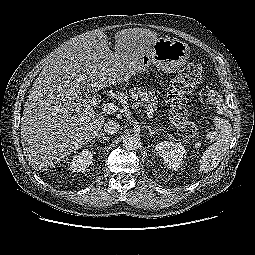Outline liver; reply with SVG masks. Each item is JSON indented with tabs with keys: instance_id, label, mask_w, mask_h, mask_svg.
Wrapping results in <instances>:
<instances>
[{
	"instance_id": "6515ba94",
	"label": "liver",
	"mask_w": 255,
	"mask_h": 255,
	"mask_svg": "<svg viewBox=\"0 0 255 255\" xmlns=\"http://www.w3.org/2000/svg\"><path fill=\"white\" fill-rule=\"evenodd\" d=\"M158 39L145 28L115 34V51L103 32H86L58 49L35 80L21 118L24 154L36 171H45L94 139L105 118L83 96L127 82L140 69L142 55Z\"/></svg>"
}]
</instances>
